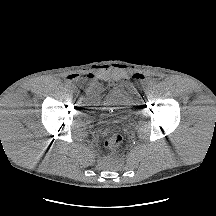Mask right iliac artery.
<instances>
[{"label":"right iliac artery","mask_w":216,"mask_h":216,"mask_svg":"<svg viewBox=\"0 0 216 216\" xmlns=\"http://www.w3.org/2000/svg\"><path fill=\"white\" fill-rule=\"evenodd\" d=\"M73 86H68V91H73Z\"/></svg>","instance_id":"right-iliac-artery-1"}]
</instances>
